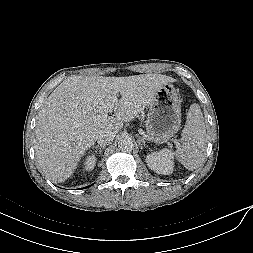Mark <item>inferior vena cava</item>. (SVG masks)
Segmentation results:
<instances>
[{
    "label": "inferior vena cava",
    "mask_w": 253,
    "mask_h": 253,
    "mask_svg": "<svg viewBox=\"0 0 253 253\" xmlns=\"http://www.w3.org/2000/svg\"><path fill=\"white\" fill-rule=\"evenodd\" d=\"M115 135V131L109 128H104L98 132L96 141L100 145H108L114 140Z\"/></svg>",
    "instance_id": "inferior-vena-cava-1"
}]
</instances>
